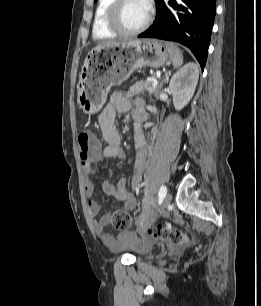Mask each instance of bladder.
<instances>
[{"mask_svg": "<svg viewBox=\"0 0 261 306\" xmlns=\"http://www.w3.org/2000/svg\"><path fill=\"white\" fill-rule=\"evenodd\" d=\"M153 244L140 242L136 244V254L139 260H148L152 257Z\"/></svg>", "mask_w": 261, "mask_h": 306, "instance_id": "31cf9c89", "label": "bladder"}]
</instances>
